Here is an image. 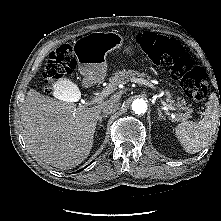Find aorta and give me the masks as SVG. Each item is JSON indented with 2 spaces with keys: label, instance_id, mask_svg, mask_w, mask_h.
<instances>
[{
  "label": "aorta",
  "instance_id": "aorta-1",
  "mask_svg": "<svg viewBox=\"0 0 221 221\" xmlns=\"http://www.w3.org/2000/svg\"><path fill=\"white\" fill-rule=\"evenodd\" d=\"M132 110L135 114H144L147 110V103L143 99H136L132 102Z\"/></svg>",
  "mask_w": 221,
  "mask_h": 221
}]
</instances>
